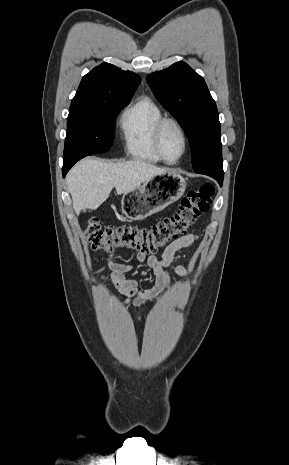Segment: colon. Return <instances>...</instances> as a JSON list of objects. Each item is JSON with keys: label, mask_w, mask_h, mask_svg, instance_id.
Returning <instances> with one entry per match:
<instances>
[{"label": "colon", "mask_w": 289, "mask_h": 465, "mask_svg": "<svg viewBox=\"0 0 289 465\" xmlns=\"http://www.w3.org/2000/svg\"><path fill=\"white\" fill-rule=\"evenodd\" d=\"M214 193L215 188L210 184L190 190L175 214L150 227L126 224L103 228L100 220L93 217L84 229V239L91 248L106 252L135 249L144 254L156 253L172 239L185 234L210 209Z\"/></svg>", "instance_id": "1"}]
</instances>
